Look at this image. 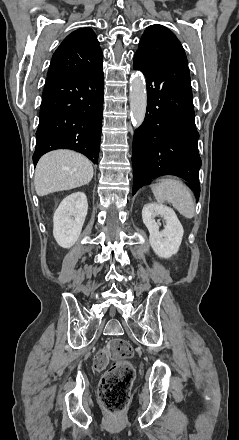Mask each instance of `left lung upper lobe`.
Segmentation results:
<instances>
[{
	"mask_svg": "<svg viewBox=\"0 0 239 440\" xmlns=\"http://www.w3.org/2000/svg\"><path fill=\"white\" fill-rule=\"evenodd\" d=\"M136 54L167 63H188L185 51L176 36L162 25L149 26L142 35Z\"/></svg>",
	"mask_w": 239,
	"mask_h": 440,
	"instance_id": "5c2ea615",
	"label": "left lung upper lobe"
}]
</instances>
